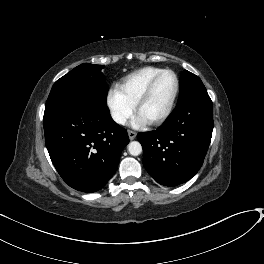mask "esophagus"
<instances>
[{
    "label": "esophagus",
    "instance_id": "34e87169",
    "mask_svg": "<svg viewBox=\"0 0 264 264\" xmlns=\"http://www.w3.org/2000/svg\"><path fill=\"white\" fill-rule=\"evenodd\" d=\"M137 133L135 131L129 130L128 136L130 140H134L136 138Z\"/></svg>",
    "mask_w": 264,
    "mask_h": 264
}]
</instances>
